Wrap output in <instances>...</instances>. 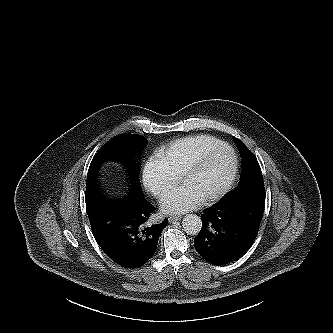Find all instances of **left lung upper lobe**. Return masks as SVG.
<instances>
[{
    "instance_id": "5c2ea615",
    "label": "left lung upper lobe",
    "mask_w": 333,
    "mask_h": 333,
    "mask_svg": "<svg viewBox=\"0 0 333 333\" xmlns=\"http://www.w3.org/2000/svg\"><path fill=\"white\" fill-rule=\"evenodd\" d=\"M233 139L241 150L243 159L240 182L235 190L263 183L261 168L254 154L238 138L233 137Z\"/></svg>"
}]
</instances>
